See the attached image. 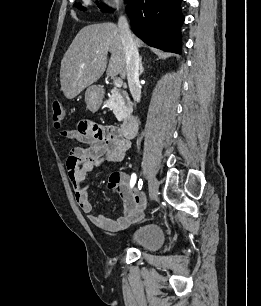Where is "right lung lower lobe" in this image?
Masks as SVG:
<instances>
[{
    "instance_id": "right-lung-lower-lobe-1",
    "label": "right lung lower lobe",
    "mask_w": 261,
    "mask_h": 306,
    "mask_svg": "<svg viewBox=\"0 0 261 306\" xmlns=\"http://www.w3.org/2000/svg\"><path fill=\"white\" fill-rule=\"evenodd\" d=\"M181 1L130 0L126 9L133 32L152 47L180 53Z\"/></svg>"
}]
</instances>
